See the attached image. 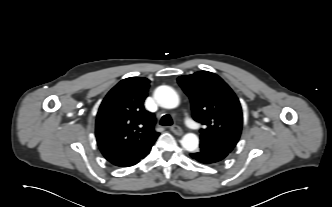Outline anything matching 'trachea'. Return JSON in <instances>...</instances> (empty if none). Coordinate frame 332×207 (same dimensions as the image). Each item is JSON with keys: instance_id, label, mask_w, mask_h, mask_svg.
Segmentation results:
<instances>
[{"instance_id": "obj_1", "label": "trachea", "mask_w": 332, "mask_h": 207, "mask_svg": "<svg viewBox=\"0 0 332 207\" xmlns=\"http://www.w3.org/2000/svg\"><path fill=\"white\" fill-rule=\"evenodd\" d=\"M173 124L172 118L170 117V115H164L162 116L161 120H160V125L162 126H171Z\"/></svg>"}]
</instances>
